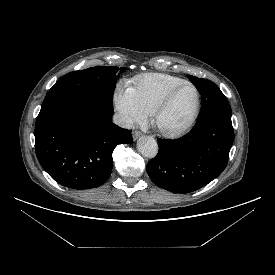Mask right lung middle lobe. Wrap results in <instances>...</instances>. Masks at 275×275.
I'll use <instances>...</instances> for the list:
<instances>
[{
  "instance_id": "dd1d6c3e",
  "label": "right lung middle lobe",
  "mask_w": 275,
  "mask_h": 275,
  "mask_svg": "<svg viewBox=\"0 0 275 275\" xmlns=\"http://www.w3.org/2000/svg\"><path fill=\"white\" fill-rule=\"evenodd\" d=\"M128 68L96 66L81 71H73L59 79L49 90L46 98L67 94H87L100 98L113 106V92L116 74Z\"/></svg>"
}]
</instances>
